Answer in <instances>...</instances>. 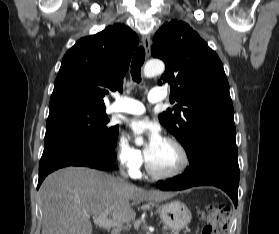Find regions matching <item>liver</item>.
<instances>
[{
  "label": "liver",
  "instance_id": "obj_1",
  "mask_svg": "<svg viewBox=\"0 0 279 234\" xmlns=\"http://www.w3.org/2000/svg\"><path fill=\"white\" fill-rule=\"evenodd\" d=\"M42 234H92L90 215L107 213L117 223L133 221L132 206L164 201L171 193L144 190L107 173L68 167L50 174L42 183Z\"/></svg>",
  "mask_w": 279,
  "mask_h": 234
}]
</instances>
